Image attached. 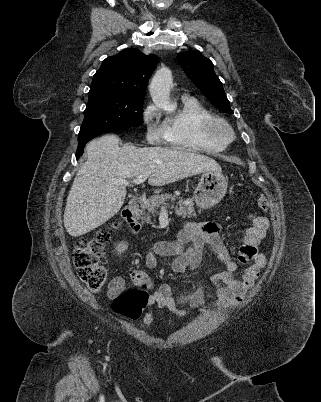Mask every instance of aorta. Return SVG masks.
I'll return each mask as SVG.
<instances>
[{"mask_svg":"<svg viewBox=\"0 0 321 402\" xmlns=\"http://www.w3.org/2000/svg\"><path fill=\"white\" fill-rule=\"evenodd\" d=\"M172 85V73L169 69L158 70L152 78L149 92L154 104L164 110L173 111L175 106L170 103V87Z\"/></svg>","mask_w":321,"mask_h":402,"instance_id":"aorta-1","label":"aorta"}]
</instances>
